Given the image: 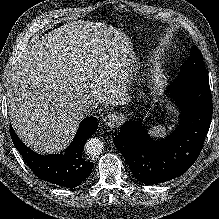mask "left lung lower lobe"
I'll list each match as a JSON object with an SVG mask.
<instances>
[{
  "label": "left lung lower lobe",
  "mask_w": 219,
  "mask_h": 219,
  "mask_svg": "<svg viewBox=\"0 0 219 219\" xmlns=\"http://www.w3.org/2000/svg\"><path fill=\"white\" fill-rule=\"evenodd\" d=\"M169 91L180 107L181 118L176 131L166 140L150 138L139 118L127 121L113 139L132 174L147 185L184 174L198 158L211 123L209 77L179 75Z\"/></svg>",
  "instance_id": "left-lung-lower-lobe-1"
}]
</instances>
